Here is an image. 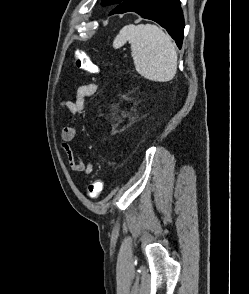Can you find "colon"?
I'll use <instances>...</instances> for the list:
<instances>
[{
	"mask_svg": "<svg viewBox=\"0 0 249 294\" xmlns=\"http://www.w3.org/2000/svg\"><path fill=\"white\" fill-rule=\"evenodd\" d=\"M74 62L77 68L87 73L95 74L99 71L98 66L83 51H75ZM103 185L104 182L101 179L92 181L87 188V196L92 199L97 198L103 190Z\"/></svg>",
	"mask_w": 249,
	"mask_h": 294,
	"instance_id": "5ec220e1",
	"label": "colon"
}]
</instances>
